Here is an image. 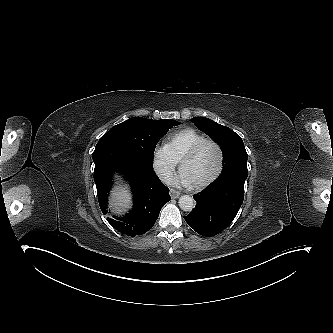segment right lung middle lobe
Returning <instances> with one entry per match:
<instances>
[{"mask_svg": "<svg viewBox=\"0 0 333 333\" xmlns=\"http://www.w3.org/2000/svg\"><path fill=\"white\" fill-rule=\"evenodd\" d=\"M180 122L169 119L151 120L142 117L130 118L112 127L106 136H113L125 142L148 165L153 164L157 141Z\"/></svg>", "mask_w": 333, "mask_h": 333, "instance_id": "1", "label": "right lung middle lobe"}]
</instances>
